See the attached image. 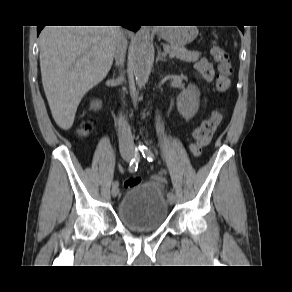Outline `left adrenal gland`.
Wrapping results in <instances>:
<instances>
[{"instance_id":"obj_1","label":"left adrenal gland","mask_w":292,"mask_h":292,"mask_svg":"<svg viewBox=\"0 0 292 292\" xmlns=\"http://www.w3.org/2000/svg\"><path fill=\"white\" fill-rule=\"evenodd\" d=\"M159 60H161V61H166V55H163V54L161 53V51L158 52V56H157V58H156V62H158Z\"/></svg>"}]
</instances>
